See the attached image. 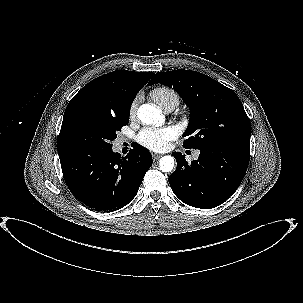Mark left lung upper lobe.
I'll list each match as a JSON object with an SVG mask.
<instances>
[{
  "mask_svg": "<svg viewBox=\"0 0 303 303\" xmlns=\"http://www.w3.org/2000/svg\"><path fill=\"white\" fill-rule=\"evenodd\" d=\"M161 83L173 89L190 108L185 148L207 144L250 145L251 123L236 93L202 73L190 70L158 72L148 85Z\"/></svg>",
  "mask_w": 303,
  "mask_h": 303,
  "instance_id": "1",
  "label": "left lung upper lobe"
}]
</instances>
